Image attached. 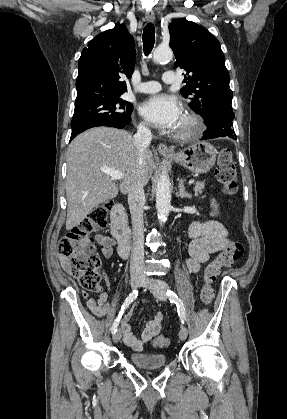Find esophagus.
Here are the masks:
<instances>
[{
  "label": "esophagus",
  "mask_w": 287,
  "mask_h": 419,
  "mask_svg": "<svg viewBox=\"0 0 287 419\" xmlns=\"http://www.w3.org/2000/svg\"><path fill=\"white\" fill-rule=\"evenodd\" d=\"M145 17H146L147 21H149V22H154V20H155V15H154L153 12H146ZM157 150L160 153H164V154H174V151L172 149H170L169 147H167V145L164 144V143H159L157 145Z\"/></svg>",
  "instance_id": "obj_1"
}]
</instances>
